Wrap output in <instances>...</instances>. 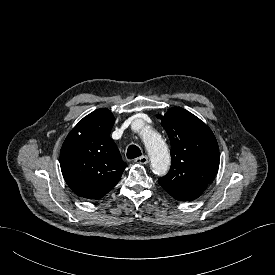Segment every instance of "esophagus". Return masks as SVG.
<instances>
[{
	"label": "esophagus",
	"instance_id": "34e87169",
	"mask_svg": "<svg viewBox=\"0 0 275 275\" xmlns=\"http://www.w3.org/2000/svg\"><path fill=\"white\" fill-rule=\"evenodd\" d=\"M135 162L140 163V164H147L148 163V157L146 155H143L141 157L136 158Z\"/></svg>",
	"mask_w": 275,
	"mask_h": 275
}]
</instances>
